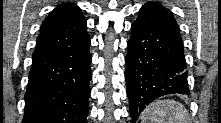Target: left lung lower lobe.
Returning a JSON list of instances; mask_svg holds the SVG:
<instances>
[{
	"label": "left lung lower lobe",
	"mask_w": 221,
	"mask_h": 123,
	"mask_svg": "<svg viewBox=\"0 0 221 123\" xmlns=\"http://www.w3.org/2000/svg\"><path fill=\"white\" fill-rule=\"evenodd\" d=\"M131 30L125 78L133 123L156 98L190 92L183 41L172 12L148 2L139 10Z\"/></svg>",
	"instance_id": "obj_1"
}]
</instances>
